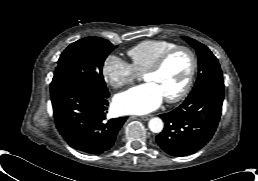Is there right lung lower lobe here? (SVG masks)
<instances>
[{
	"instance_id": "98d812e1",
	"label": "right lung lower lobe",
	"mask_w": 258,
	"mask_h": 181,
	"mask_svg": "<svg viewBox=\"0 0 258 181\" xmlns=\"http://www.w3.org/2000/svg\"><path fill=\"white\" fill-rule=\"evenodd\" d=\"M56 126L76 150L102 154L109 150L127 117L106 120L107 98H101L64 80L50 86Z\"/></svg>"
}]
</instances>
